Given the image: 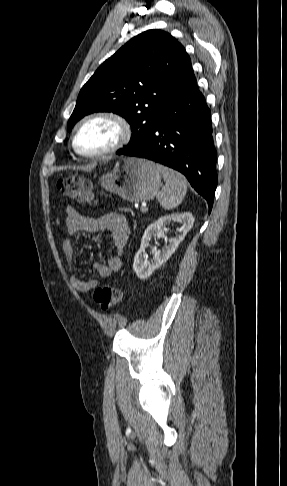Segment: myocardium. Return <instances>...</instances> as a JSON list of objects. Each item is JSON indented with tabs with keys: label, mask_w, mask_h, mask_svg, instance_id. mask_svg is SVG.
Returning <instances> with one entry per match:
<instances>
[{
	"label": "myocardium",
	"mask_w": 287,
	"mask_h": 486,
	"mask_svg": "<svg viewBox=\"0 0 287 486\" xmlns=\"http://www.w3.org/2000/svg\"><path fill=\"white\" fill-rule=\"evenodd\" d=\"M96 120H106L115 125L117 128V138L109 147L96 152H83L77 146V136L81 129ZM132 128L128 120L121 114L113 111H97L83 117L75 126L72 136V148L76 154L84 158H100L112 154L124 147L131 139Z\"/></svg>",
	"instance_id": "1"
}]
</instances>
